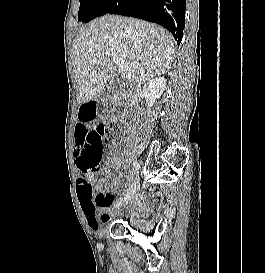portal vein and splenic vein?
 <instances>
[{
  "mask_svg": "<svg viewBox=\"0 0 265 273\" xmlns=\"http://www.w3.org/2000/svg\"><path fill=\"white\" fill-rule=\"evenodd\" d=\"M112 61L119 69H126L128 67V63L123 58L112 57Z\"/></svg>",
  "mask_w": 265,
  "mask_h": 273,
  "instance_id": "18ae733b",
  "label": "portal vein and splenic vein"
}]
</instances>
